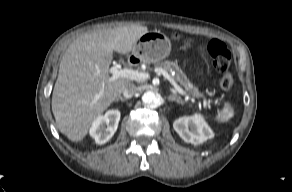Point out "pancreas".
<instances>
[{
	"instance_id": "pancreas-1",
	"label": "pancreas",
	"mask_w": 292,
	"mask_h": 192,
	"mask_svg": "<svg viewBox=\"0 0 292 192\" xmlns=\"http://www.w3.org/2000/svg\"><path fill=\"white\" fill-rule=\"evenodd\" d=\"M157 68H162L167 72L174 73L173 79L180 83L192 96L199 97L200 93L196 87L191 86L186 74L179 68L178 64L172 61H164L156 64Z\"/></svg>"
}]
</instances>
